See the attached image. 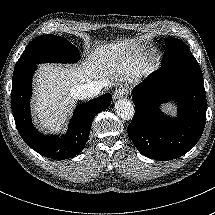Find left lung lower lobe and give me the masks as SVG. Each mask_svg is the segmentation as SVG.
I'll return each instance as SVG.
<instances>
[{
	"label": "left lung lower lobe",
	"instance_id": "obj_1",
	"mask_svg": "<svg viewBox=\"0 0 215 215\" xmlns=\"http://www.w3.org/2000/svg\"><path fill=\"white\" fill-rule=\"evenodd\" d=\"M135 114L128 134L143 155L172 160L191 150L200 139L206 121L203 75L193 56L162 66L132 91ZM178 104L176 118L164 115L162 103Z\"/></svg>",
	"mask_w": 215,
	"mask_h": 215
}]
</instances>
